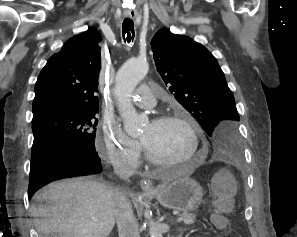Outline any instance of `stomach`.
<instances>
[{"label": "stomach", "instance_id": "1", "mask_svg": "<svg viewBox=\"0 0 297 237\" xmlns=\"http://www.w3.org/2000/svg\"><path fill=\"white\" fill-rule=\"evenodd\" d=\"M150 195L166 208L190 213L200 206L203 188L195 179L184 176L160 185Z\"/></svg>", "mask_w": 297, "mask_h": 237}]
</instances>
